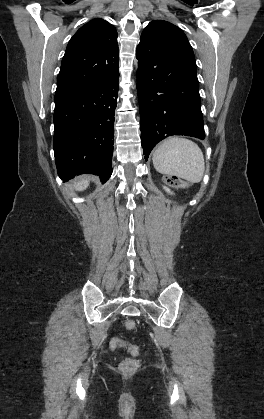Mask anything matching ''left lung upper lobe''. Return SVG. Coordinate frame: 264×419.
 I'll use <instances>...</instances> for the list:
<instances>
[{"label":"left lung upper lobe","instance_id":"left-lung-upper-lobe-1","mask_svg":"<svg viewBox=\"0 0 264 419\" xmlns=\"http://www.w3.org/2000/svg\"><path fill=\"white\" fill-rule=\"evenodd\" d=\"M153 42L165 43L163 65L167 70L197 78L192 47L180 28L164 20L150 22L142 32L137 50Z\"/></svg>","mask_w":264,"mask_h":419}]
</instances>
